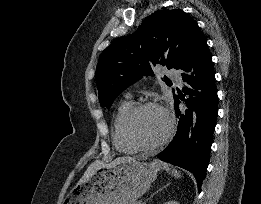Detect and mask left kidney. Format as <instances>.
<instances>
[{"instance_id":"left-kidney-1","label":"left kidney","mask_w":261,"mask_h":204,"mask_svg":"<svg viewBox=\"0 0 261 204\" xmlns=\"http://www.w3.org/2000/svg\"><path fill=\"white\" fill-rule=\"evenodd\" d=\"M164 204H179V203L176 201H168V202H165Z\"/></svg>"}]
</instances>
